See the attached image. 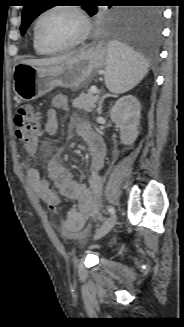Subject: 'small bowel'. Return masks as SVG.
<instances>
[{"mask_svg": "<svg viewBox=\"0 0 184 327\" xmlns=\"http://www.w3.org/2000/svg\"><path fill=\"white\" fill-rule=\"evenodd\" d=\"M51 104L53 108L46 111L45 123L41 130L32 139L24 143L25 149L30 155H35L38 152L41 136L53 135L57 132L58 118L55 109L67 110L69 106L66 96L61 94L55 95ZM77 132L87 143L92 155V172L87 186L74 180L70 172L54 159L49 160L47 164V178L36 167L31 168L27 174L30 188L47 205L49 203H56L58 207L60 205V198L51 188V184L58 189L63 197L76 201L65 220V228L69 232L81 230L87 218L91 217V213H98V197L103 184L99 171L104 165L106 154L103 138L94 132L88 124H78Z\"/></svg>", "mask_w": 184, "mask_h": 327, "instance_id": "1", "label": "small bowel"}]
</instances>
